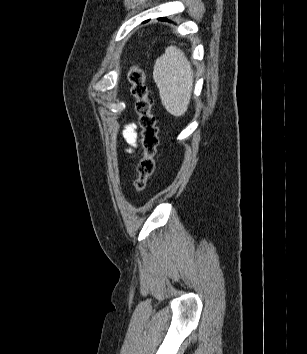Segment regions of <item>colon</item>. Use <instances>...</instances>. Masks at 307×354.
<instances>
[{
    "instance_id": "colon-1",
    "label": "colon",
    "mask_w": 307,
    "mask_h": 354,
    "mask_svg": "<svg viewBox=\"0 0 307 354\" xmlns=\"http://www.w3.org/2000/svg\"><path fill=\"white\" fill-rule=\"evenodd\" d=\"M131 92L135 98V108L142 129L143 156L138 164V177L135 180L137 192H143L155 168V154L159 144L156 117L152 113V100L145 84V74L137 64H132L128 74Z\"/></svg>"
}]
</instances>
